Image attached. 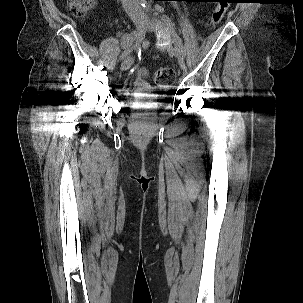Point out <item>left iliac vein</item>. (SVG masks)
<instances>
[{"instance_id":"4c4485c4","label":"left iliac vein","mask_w":303,"mask_h":303,"mask_svg":"<svg viewBox=\"0 0 303 303\" xmlns=\"http://www.w3.org/2000/svg\"><path fill=\"white\" fill-rule=\"evenodd\" d=\"M148 27L157 33L158 35L162 36L164 39H167L172 42L173 47L170 50V53L179 59L180 67L185 69V64L181 57V50H182V41L179 35L176 33L175 29L165 22H159L152 19L147 20Z\"/></svg>"}]
</instances>
